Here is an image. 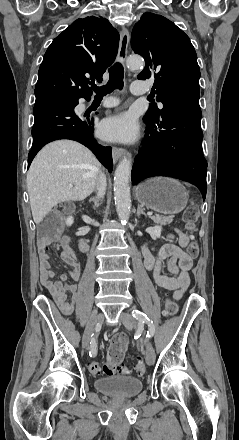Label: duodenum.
Wrapping results in <instances>:
<instances>
[{"label": "duodenum", "instance_id": "410a0bca", "mask_svg": "<svg viewBox=\"0 0 239 440\" xmlns=\"http://www.w3.org/2000/svg\"><path fill=\"white\" fill-rule=\"evenodd\" d=\"M80 248L82 251H87L89 249L88 241L85 238L80 239Z\"/></svg>", "mask_w": 239, "mask_h": 440}]
</instances>
